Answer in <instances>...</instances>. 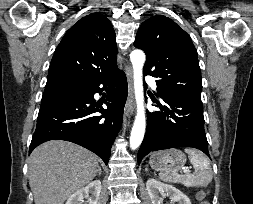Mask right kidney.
<instances>
[{
	"mask_svg": "<svg viewBox=\"0 0 253 204\" xmlns=\"http://www.w3.org/2000/svg\"><path fill=\"white\" fill-rule=\"evenodd\" d=\"M101 193V182L100 180H95L73 193L67 200L65 204H82L84 198H87L89 204H97Z\"/></svg>",
	"mask_w": 253,
	"mask_h": 204,
	"instance_id": "ca27d5eb",
	"label": "right kidney"
}]
</instances>
